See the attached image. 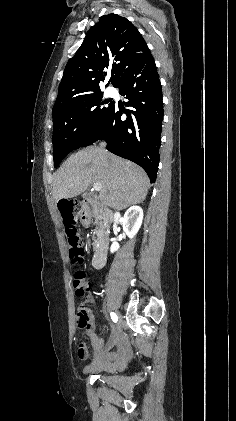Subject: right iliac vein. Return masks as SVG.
<instances>
[{
	"instance_id": "obj_1",
	"label": "right iliac vein",
	"mask_w": 236,
	"mask_h": 421,
	"mask_svg": "<svg viewBox=\"0 0 236 421\" xmlns=\"http://www.w3.org/2000/svg\"><path fill=\"white\" fill-rule=\"evenodd\" d=\"M121 330H122V320H121V317H120L119 321H118V323H117V325L114 329V332H113V337H114L113 343H114V340L116 339V337L119 336ZM113 343H111L110 347L113 346Z\"/></svg>"
}]
</instances>
